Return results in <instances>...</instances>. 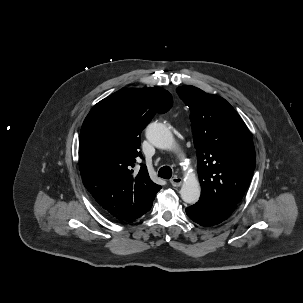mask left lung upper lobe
<instances>
[{
	"instance_id": "1",
	"label": "left lung upper lobe",
	"mask_w": 303,
	"mask_h": 303,
	"mask_svg": "<svg viewBox=\"0 0 303 303\" xmlns=\"http://www.w3.org/2000/svg\"><path fill=\"white\" fill-rule=\"evenodd\" d=\"M176 91L191 111L202 188L199 201L231 215L242 200L255 168L250 133L225 99L193 86H181Z\"/></svg>"
}]
</instances>
